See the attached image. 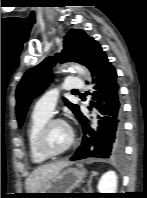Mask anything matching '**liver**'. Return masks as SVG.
<instances>
[{
    "label": "liver",
    "instance_id": "liver-1",
    "mask_svg": "<svg viewBox=\"0 0 147 198\" xmlns=\"http://www.w3.org/2000/svg\"><path fill=\"white\" fill-rule=\"evenodd\" d=\"M68 165L69 162L67 161H59L56 163L39 166L27 177L25 181L26 192H38Z\"/></svg>",
    "mask_w": 147,
    "mask_h": 198
}]
</instances>
